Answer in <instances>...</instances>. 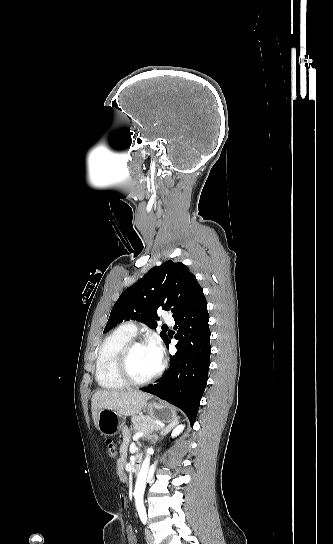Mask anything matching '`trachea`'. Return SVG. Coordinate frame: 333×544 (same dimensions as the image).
Here are the masks:
<instances>
[{"mask_svg": "<svg viewBox=\"0 0 333 544\" xmlns=\"http://www.w3.org/2000/svg\"><path fill=\"white\" fill-rule=\"evenodd\" d=\"M162 327L167 328L168 326H167V325H163Z\"/></svg>", "mask_w": 333, "mask_h": 544, "instance_id": "1", "label": "trachea"}]
</instances>
